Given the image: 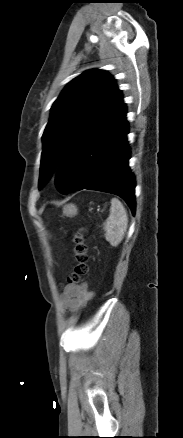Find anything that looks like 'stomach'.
<instances>
[{"label":"stomach","instance_id":"0dacf381","mask_svg":"<svg viewBox=\"0 0 183 438\" xmlns=\"http://www.w3.org/2000/svg\"><path fill=\"white\" fill-rule=\"evenodd\" d=\"M63 213L67 216H73L77 213V208L74 204H68L63 208Z\"/></svg>","mask_w":183,"mask_h":438}]
</instances>
